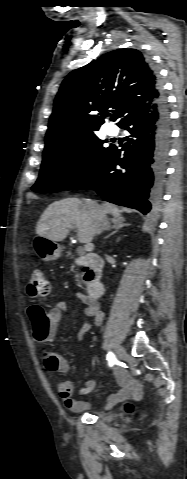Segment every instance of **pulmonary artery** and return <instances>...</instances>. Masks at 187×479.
Returning <instances> with one entry per match:
<instances>
[{
	"mask_svg": "<svg viewBox=\"0 0 187 479\" xmlns=\"http://www.w3.org/2000/svg\"><path fill=\"white\" fill-rule=\"evenodd\" d=\"M107 131H108V134L111 135V136H114V135L117 134V129L113 126L108 127Z\"/></svg>",
	"mask_w": 187,
	"mask_h": 479,
	"instance_id": "e3ab8cb5",
	"label": "pulmonary artery"
}]
</instances>
